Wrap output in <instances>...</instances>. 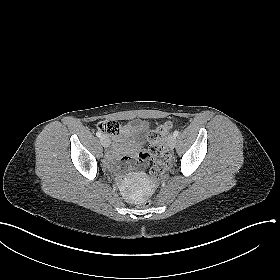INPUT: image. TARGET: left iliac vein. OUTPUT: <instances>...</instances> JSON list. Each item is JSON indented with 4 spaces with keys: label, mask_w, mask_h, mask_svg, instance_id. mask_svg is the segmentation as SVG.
<instances>
[{
    "label": "left iliac vein",
    "mask_w": 280,
    "mask_h": 280,
    "mask_svg": "<svg viewBox=\"0 0 280 280\" xmlns=\"http://www.w3.org/2000/svg\"><path fill=\"white\" fill-rule=\"evenodd\" d=\"M176 145V137L174 135L169 136L168 138V146L170 149H173Z\"/></svg>",
    "instance_id": "1"
}]
</instances>
